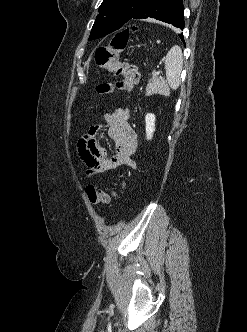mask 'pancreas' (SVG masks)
<instances>
[{"mask_svg": "<svg viewBox=\"0 0 247 332\" xmlns=\"http://www.w3.org/2000/svg\"><path fill=\"white\" fill-rule=\"evenodd\" d=\"M162 83V78L153 74L152 78L149 80V84L146 87V95L150 96L156 94L159 91Z\"/></svg>", "mask_w": 247, "mask_h": 332, "instance_id": "pancreas-1", "label": "pancreas"}]
</instances>
